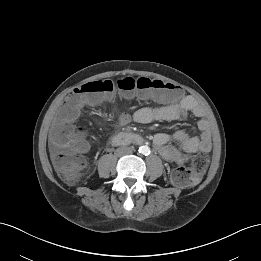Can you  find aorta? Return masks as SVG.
<instances>
[{
  "instance_id": "762f6f07",
  "label": "aorta",
  "mask_w": 261,
  "mask_h": 261,
  "mask_svg": "<svg viewBox=\"0 0 261 261\" xmlns=\"http://www.w3.org/2000/svg\"><path fill=\"white\" fill-rule=\"evenodd\" d=\"M139 153L143 155H148L150 153V148L146 145H143L139 148Z\"/></svg>"
}]
</instances>
